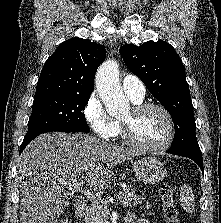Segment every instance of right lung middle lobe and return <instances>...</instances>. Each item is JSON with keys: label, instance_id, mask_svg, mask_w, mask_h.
Wrapping results in <instances>:
<instances>
[{"label": "right lung middle lobe", "instance_id": "obj_1", "mask_svg": "<svg viewBox=\"0 0 221 223\" xmlns=\"http://www.w3.org/2000/svg\"><path fill=\"white\" fill-rule=\"evenodd\" d=\"M89 98L90 93L34 99L26 136L46 131L90 132L83 112Z\"/></svg>", "mask_w": 221, "mask_h": 223}]
</instances>
